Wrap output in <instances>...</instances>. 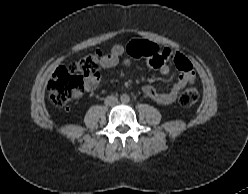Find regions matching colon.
<instances>
[{"instance_id": "obj_1", "label": "colon", "mask_w": 248, "mask_h": 194, "mask_svg": "<svg viewBox=\"0 0 248 194\" xmlns=\"http://www.w3.org/2000/svg\"><path fill=\"white\" fill-rule=\"evenodd\" d=\"M128 53L135 57L156 58L155 64L159 65L168 58L157 56L160 54L158 47L150 41L134 40L127 45ZM172 58L181 62L183 57L173 53ZM170 58V59H172ZM102 55L99 51L84 55L68 66L59 67L52 75L48 90L52 102L55 105L63 106L74 98L78 97L84 90L85 80L88 77L96 76L101 68ZM199 99L196 86L191 82L180 94L179 103L183 107H191Z\"/></svg>"}]
</instances>
